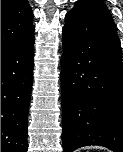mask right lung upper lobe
Wrapping results in <instances>:
<instances>
[{
  "instance_id": "right-lung-upper-lobe-1",
  "label": "right lung upper lobe",
  "mask_w": 123,
  "mask_h": 152,
  "mask_svg": "<svg viewBox=\"0 0 123 152\" xmlns=\"http://www.w3.org/2000/svg\"><path fill=\"white\" fill-rule=\"evenodd\" d=\"M33 17L27 0H1V45L31 35L35 28Z\"/></svg>"
}]
</instances>
